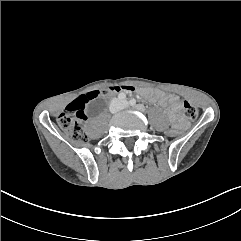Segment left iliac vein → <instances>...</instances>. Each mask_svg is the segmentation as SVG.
<instances>
[{
    "label": "left iliac vein",
    "instance_id": "1",
    "mask_svg": "<svg viewBox=\"0 0 241 241\" xmlns=\"http://www.w3.org/2000/svg\"><path fill=\"white\" fill-rule=\"evenodd\" d=\"M124 105H127V102H126V101L124 102Z\"/></svg>",
    "mask_w": 241,
    "mask_h": 241
}]
</instances>
